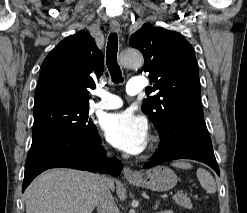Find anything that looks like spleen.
I'll return each instance as SVG.
<instances>
[{
	"instance_id": "1",
	"label": "spleen",
	"mask_w": 247,
	"mask_h": 213,
	"mask_svg": "<svg viewBox=\"0 0 247 213\" xmlns=\"http://www.w3.org/2000/svg\"><path fill=\"white\" fill-rule=\"evenodd\" d=\"M172 165L181 169L192 168V165L187 162H175ZM196 174L201 186L206 190V192L209 194H214L217 188H216L215 180L212 177V175L203 168H199Z\"/></svg>"
}]
</instances>
